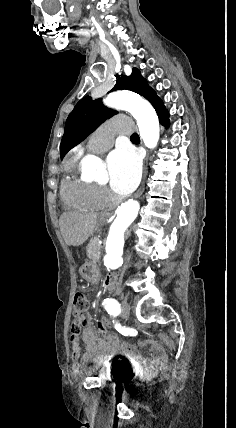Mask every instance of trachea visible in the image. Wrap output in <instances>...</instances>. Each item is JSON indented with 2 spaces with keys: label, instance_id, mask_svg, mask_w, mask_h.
<instances>
[{
  "label": "trachea",
  "instance_id": "trachea-1",
  "mask_svg": "<svg viewBox=\"0 0 236 428\" xmlns=\"http://www.w3.org/2000/svg\"><path fill=\"white\" fill-rule=\"evenodd\" d=\"M130 138L131 139H139V135L137 133H133Z\"/></svg>",
  "mask_w": 236,
  "mask_h": 428
}]
</instances>
